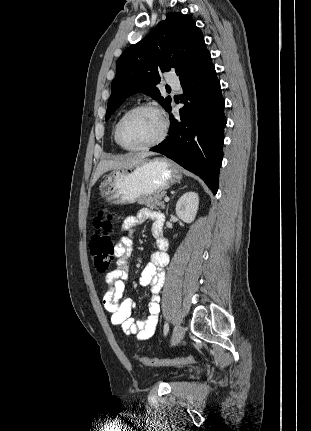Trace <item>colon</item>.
Wrapping results in <instances>:
<instances>
[{
	"label": "colon",
	"mask_w": 311,
	"mask_h": 431,
	"mask_svg": "<svg viewBox=\"0 0 311 431\" xmlns=\"http://www.w3.org/2000/svg\"><path fill=\"white\" fill-rule=\"evenodd\" d=\"M112 219L111 214L100 210L93 221L95 231L90 238L89 249L94 266L101 273L109 269L114 259L115 247L110 235L113 227ZM138 360L146 366H185L197 363L192 356L173 359L138 357Z\"/></svg>",
	"instance_id": "colon-1"
}]
</instances>
